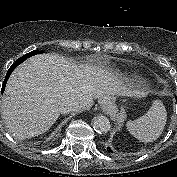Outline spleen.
<instances>
[{
	"instance_id": "3e777b00",
	"label": "spleen",
	"mask_w": 177,
	"mask_h": 177,
	"mask_svg": "<svg viewBox=\"0 0 177 177\" xmlns=\"http://www.w3.org/2000/svg\"><path fill=\"white\" fill-rule=\"evenodd\" d=\"M167 112L161 100L153 101L146 114L126 123L127 130L139 141H155L162 134L166 125Z\"/></svg>"
}]
</instances>
